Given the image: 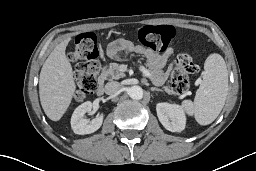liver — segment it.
I'll return each mask as SVG.
<instances>
[{"mask_svg": "<svg viewBox=\"0 0 256 171\" xmlns=\"http://www.w3.org/2000/svg\"><path fill=\"white\" fill-rule=\"evenodd\" d=\"M68 42L69 40L62 41L54 48L40 72V102L52 121L62 118L76 90L72 66L65 53Z\"/></svg>", "mask_w": 256, "mask_h": 171, "instance_id": "6515ba94", "label": "liver"}]
</instances>
